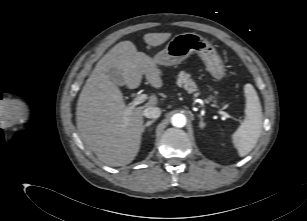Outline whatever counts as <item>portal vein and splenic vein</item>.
<instances>
[{
    "mask_svg": "<svg viewBox=\"0 0 307 221\" xmlns=\"http://www.w3.org/2000/svg\"><path fill=\"white\" fill-rule=\"evenodd\" d=\"M148 99V95L147 94H138L134 99L133 101L131 102V106L128 108L127 110V114H130V111L137 105L145 102L146 100ZM221 115H223L225 118H229V115L222 111V110H219L218 111Z\"/></svg>",
    "mask_w": 307,
    "mask_h": 221,
    "instance_id": "1",
    "label": "portal vein and splenic vein"
}]
</instances>
